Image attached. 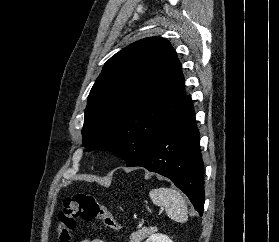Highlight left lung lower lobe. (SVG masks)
Here are the masks:
<instances>
[{"label":"left lung lower lobe","instance_id":"left-lung-lower-lobe-1","mask_svg":"<svg viewBox=\"0 0 279 242\" xmlns=\"http://www.w3.org/2000/svg\"><path fill=\"white\" fill-rule=\"evenodd\" d=\"M199 139L195 111L189 97L179 116L126 166H141L169 178L202 215L205 201L204 164Z\"/></svg>","mask_w":279,"mask_h":242}]
</instances>
